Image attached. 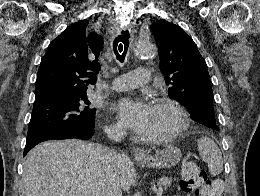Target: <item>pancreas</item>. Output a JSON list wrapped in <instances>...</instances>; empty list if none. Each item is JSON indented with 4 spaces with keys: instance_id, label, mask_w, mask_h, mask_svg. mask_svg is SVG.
<instances>
[{
    "instance_id": "pancreas-1",
    "label": "pancreas",
    "mask_w": 260,
    "mask_h": 196,
    "mask_svg": "<svg viewBox=\"0 0 260 196\" xmlns=\"http://www.w3.org/2000/svg\"><path fill=\"white\" fill-rule=\"evenodd\" d=\"M172 182H174L173 178H160V180H158V184L163 186L164 190L170 188V186H172Z\"/></svg>"
}]
</instances>
